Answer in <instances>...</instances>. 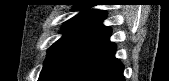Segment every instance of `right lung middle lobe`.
<instances>
[{"mask_svg": "<svg viewBox=\"0 0 169 81\" xmlns=\"http://www.w3.org/2000/svg\"><path fill=\"white\" fill-rule=\"evenodd\" d=\"M86 22L79 19H70L64 23L62 32L64 36L54 43L48 50V55L46 61L55 53V51L80 27L85 25Z\"/></svg>", "mask_w": 169, "mask_h": 81, "instance_id": "obj_1", "label": "right lung middle lobe"}]
</instances>
